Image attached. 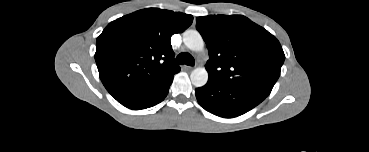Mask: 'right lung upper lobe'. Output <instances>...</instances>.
Masks as SVG:
<instances>
[{
  "mask_svg": "<svg viewBox=\"0 0 369 152\" xmlns=\"http://www.w3.org/2000/svg\"><path fill=\"white\" fill-rule=\"evenodd\" d=\"M192 15L146 8L112 21L96 41L100 79L116 99L161 83L180 70L170 39L183 32Z\"/></svg>",
  "mask_w": 369,
  "mask_h": 152,
  "instance_id": "1",
  "label": "right lung upper lobe"
}]
</instances>
